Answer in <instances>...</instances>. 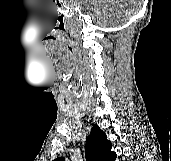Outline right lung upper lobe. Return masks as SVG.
I'll return each mask as SVG.
<instances>
[{"label":"right lung upper lobe","instance_id":"obj_1","mask_svg":"<svg viewBox=\"0 0 171 161\" xmlns=\"http://www.w3.org/2000/svg\"><path fill=\"white\" fill-rule=\"evenodd\" d=\"M111 142L107 140L106 134L95 124L86 140L85 154L87 161H114L115 152L111 151ZM53 161H65L63 157Z\"/></svg>","mask_w":171,"mask_h":161}]
</instances>
